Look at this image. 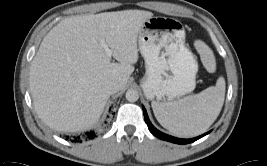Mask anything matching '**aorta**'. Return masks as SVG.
<instances>
[{
  "mask_svg": "<svg viewBox=\"0 0 267 166\" xmlns=\"http://www.w3.org/2000/svg\"><path fill=\"white\" fill-rule=\"evenodd\" d=\"M125 97L129 102H136L139 99V93L135 89H129L126 92Z\"/></svg>",
  "mask_w": 267,
  "mask_h": 166,
  "instance_id": "1",
  "label": "aorta"
}]
</instances>
